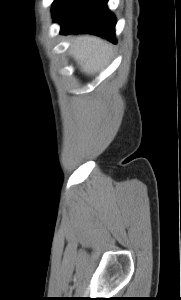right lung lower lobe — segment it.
I'll list each match as a JSON object with an SVG mask.
<instances>
[{
  "instance_id": "1",
  "label": "right lung lower lobe",
  "mask_w": 181,
  "mask_h": 300,
  "mask_svg": "<svg viewBox=\"0 0 181 300\" xmlns=\"http://www.w3.org/2000/svg\"><path fill=\"white\" fill-rule=\"evenodd\" d=\"M106 4L107 0H66L53 18L61 24V34L90 33L116 43V20Z\"/></svg>"
}]
</instances>
